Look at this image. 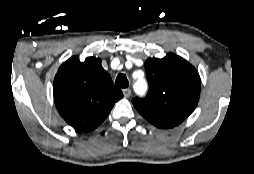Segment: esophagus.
I'll list each match as a JSON object with an SVG mask.
<instances>
[{
  "label": "esophagus",
  "mask_w": 254,
  "mask_h": 174,
  "mask_svg": "<svg viewBox=\"0 0 254 174\" xmlns=\"http://www.w3.org/2000/svg\"><path fill=\"white\" fill-rule=\"evenodd\" d=\"M122 91H123V95H124L125 98H128V97L131 96V93H132L131 89L126 88V89H123Z\"/></svg>",
  "instance_id": "obj_1"
}]
</instances>
